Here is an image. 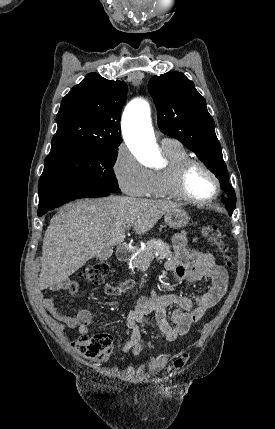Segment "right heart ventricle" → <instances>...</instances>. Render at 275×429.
Wrapping results in <instances>:
<instances>
[{
  "instance_id": "e07e8e85",
  "label": "right heart ventricle",
  "mask_w": 275,
  "mask_h": 429,
  "mask_svg": "<svg viewBox=\"0 0 275 429\" xmlns=\"http://www.w3.org/2000/svg\"><path fill=\"white\" fill-rule=\"evenodd\" d=\"M167 163L163 168L151 171L152 181L147 196L153 198H174L170 189V173L175 165L189 158L181 144L162 146Z\"/></svg>"
}]
</instances>
